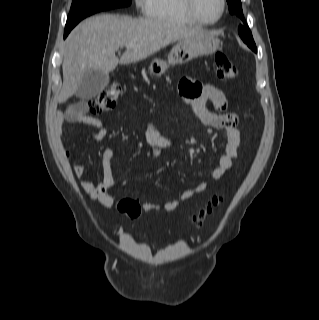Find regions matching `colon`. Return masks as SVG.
I'll use <instances>...</instances> for the list:
<instances>
[{"label": "colon", "mask_w": 319, "mask_h": 320, "mask_svg": "<svg viewBox=\"0 0 319 320\" xmlns=\"http://www.w3.org/2000/svg\"><path fill=\"white\" fill-rule=\"evenodd\" d=\"M215 63L217 68V76L223 80H232L237 77V69L231 62L230 58L224 52H217L215 55ZM120 86L112 84L107 89L103 90L90 102V110L93 113L99 114L106 110L111 109L120 94ZM223 196L213 195L209 202L202 207L199 212L193 217V221L199 225L201 224L212 212L222 204ZM120 212L125 213L130 217H136L141 213L140 204L130 198L122 199L118 203Z\"/></svg>", "instance_id": "5ec220e1"}]
</instances>
